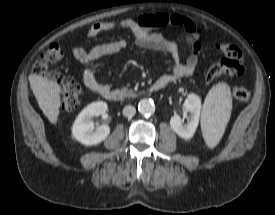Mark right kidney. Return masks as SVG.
Masks as SVG:
<instances>
[{"instance_id": "right-kidney-1", "label": "right kidney", "mask_w": 275, "mask_h": 215, "mask_svg": "<svg viewBox=\"0 0 275 215\" xmlns=\"http://www.w3.org/2000/svg\"><path fill=\"white\" fill-rule=\"evenodd\" d=\"M105 102H93L85 107L77 116L73 126L72 135L80 143L91 146L101 143L110 133L108 125H102L94 130V116L102 115L107 110Z\"/></svg>"}]
</instances>
